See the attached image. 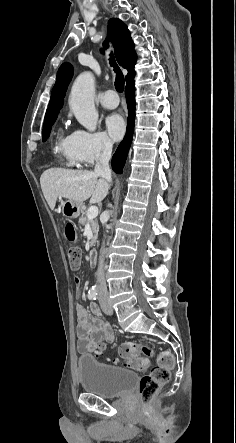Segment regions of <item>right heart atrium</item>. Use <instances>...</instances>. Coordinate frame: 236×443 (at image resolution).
<instances>
[{
  "label": "right heart atrium",
  "mask_w": 236,
  "mask_h": 443,
  "mask_svg": "<svg viewBox=\"0 0 236 443\" xmlns=\"http://www.w3.org/2000/svg\"><path fill=\"white\" fill-rule=\"evenodd\" d=\"M108 147L104 137L84 129H76L69 135L70 155L83 166H92L106 153Z\"/></svg>",
  "instance_id": "right-heart-atrium-1"
}]
</instances>
